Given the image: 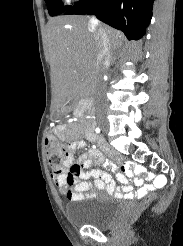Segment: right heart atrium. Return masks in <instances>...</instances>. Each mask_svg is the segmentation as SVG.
I'll use <instances>...</instances> for the list:
<instances>
[{
    "label": "right heart atrium",
    "mask_w": 183,
    "mask_h": 246,
    "mask_svg": "<svg viewBox=\"0 0 183 246\" xmlns=\"http://www.w3.org/2000/svg\"><path fill=\"white\" fill-rule=\"evenodd\" d=\"M65 1L70 2V1H72V0H65Z\"/></svg>",
    "instance_id": "obj_1"
}]
</instances>
